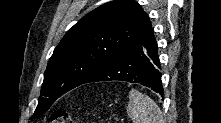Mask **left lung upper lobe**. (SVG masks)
<instances>
[{
	"label": "left lung upper lobe",
	"instance_id": "obj_1",
	"mask_svg": "<svg viewBox=\"0 0 221 123\" xmlns=\"http://www.w3.org/2000/svg\"><path fill=\"white\" fill-rule=\"evenodd\" d=\"M150 27L148 16L134 0H113L84 16L54 49L32 119L137 42Z\"/></svg>",
	"mask_w": 221,
	"mask_h": 123
}]
</instances>
